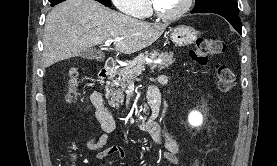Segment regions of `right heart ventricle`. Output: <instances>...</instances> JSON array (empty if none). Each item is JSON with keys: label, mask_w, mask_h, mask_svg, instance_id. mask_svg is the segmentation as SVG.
Here are the masks:
<instances>
[{"label": "right heart ventricle", "mask_w": 277, "mask_h": 166, "mask_svg": "<svg viewBox=\"0 0 277 166\" xmlns=\"http://www.w3.org/2000/svg\"><path fill=\"white\" fill-rule=\"evenodd\" d=\"M150 15V10L147 9L142 15L141 17H146V16H149Z\"/></svg>", "instance_id": "obj_1"}]
</instances>
